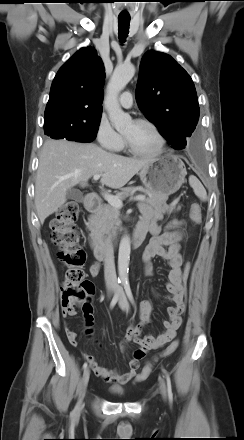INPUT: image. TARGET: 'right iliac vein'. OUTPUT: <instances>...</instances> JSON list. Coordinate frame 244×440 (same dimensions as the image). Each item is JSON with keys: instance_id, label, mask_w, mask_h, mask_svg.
Wrapping results in <instances>:
<instances>
[{"instance_id": "63e3f726", "label": "right iliac vein", "mask_w": 244, "mask_h": 440, "mask_svg": "<svg viewBox=\"0 0 244 440\" xmlns=\"http://www.w3.org/2000/svg\"><path fill=\"white\" fill-rule=\"evenodd\" d=\"M111 293H112V289H109V295ZM89 377H90V369L86 368L84 370L83 377H82L80 399H79V401L77 403L76 410H78L81 407V405H82V400H83V397H84V394H85V390H86L87 385H88Z\"/></svg>"}]
</instances>
